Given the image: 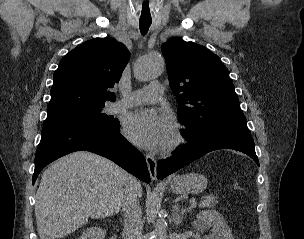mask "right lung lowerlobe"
<instances>
[{
  "label": "right lung lower lobe",
  "mask_w": 304,
  "mask_h": 239,
  "mask_svg": "<svg viewBox=\"0 0 304 239\" xmlns=\"http://www.w3.org/2000/svg\"><path fill=\"white\" fill-rule=\"evenodd\" d=\"M119 127L120 124L109 130L87 127L42 130L32 183L47 164L74 151H90L104 156L149 183L144 156L119 133Z\"/></svg>",
  "instance_id": "right-lung-lower-lobe-1"
}]
</instances>
